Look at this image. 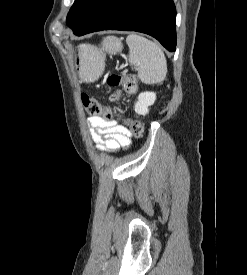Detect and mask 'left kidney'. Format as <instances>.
<instances>
[{
  "label": "left kidney",
  "mask_w": 247,
  "mask_h": 275,
  "mask_svg": "<svg viewBox=\"0 0 247 275\" xmlns=\"http://www.w3.org/2000/svg\"><path fill=\"white\" fill-rule=\"evenodd\" d=\"M156 100V94L154 92H143L138 96V101L135 104V112L138 115L145 116L148 113V107L153 105Z\"/></svg>",
  "instance_id": "5707ae66"
}]
</instances>
